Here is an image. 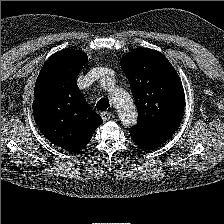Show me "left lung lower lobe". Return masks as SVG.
I'll use <instances>...</instances> for the list:
<instances>
[{
    "label": "left lung lower lobe",
    "mask_w": 224,
    "mask_h": 224,
    "mask_svg": "<svg viewBox=\"0 0 224 224\" xmlns=\"http://www.w3.org/2000/svg\"><path fill=\"white\" fill-rule=\"evenodd\" d=\"M129 131L131 139L143 150H152L160 146L158 143H156L155 141L140 132L134 130Z\"/></svg>",
    "instance_id": "1"
}]
</instances>
